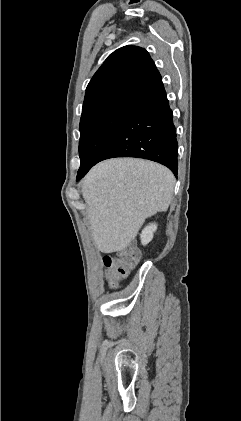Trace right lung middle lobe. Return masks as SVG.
<instances>
[{"label": "right lung middle lobe", "instance_id": "dd1d6c3e", "mask_svg": "<svg viewBox=\"0 0 241 421\" xmlns=\"http://www.w3.org/2000/svg\"><path fill=\"white\" fill-rule=\"evenodd\" d=\"M130 105L131 101L118 102L81 117L79 169L93 166L101 151L119 128Z\"/></svg>", "mask_w": 241, "mask_h": 421}]
</instances>
